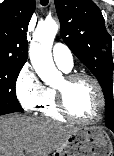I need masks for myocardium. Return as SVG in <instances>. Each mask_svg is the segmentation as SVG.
I'll use <instances>...</instances> for the list:
<instances>
[{"mask_svg":"<svg viewBox=\"0 0 114 156\" xmlns=\"http://www.w3.org/2000/svg\"><path fill=\"white\" fill-rule=\"evenodd\" d=\"M80 79L89 80L94 85V87L97 91L98 98H99V109H98V113L96 114V116L92 119L85 120V119H80V118L76 117L75 115H73L67 106L66 89L65 88H58V87L56 88L57 108H58V111L60 112V114L64 118H66L72 122H75L78 124H83V125L94 124L102 118V115H103V112L105 109L104 92H103L102 86L99 83V81L94 76H92L88 73H85V72H76V73L68 74L67 76H65L64 81H65L66 85L69 86Z\"/></svg>","mask_w":114,"mask_h":156,"instance_id":"myocardium-1","label":"myocardium"}]
</instances>
